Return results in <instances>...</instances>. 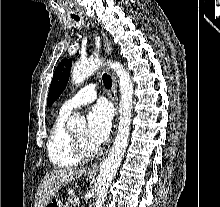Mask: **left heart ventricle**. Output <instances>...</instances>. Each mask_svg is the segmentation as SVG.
Here are the masks:
<instances>
[{"label":"left heart ventricle","instance_id":"b2bd125f","mask_svg":"<svg viewBox=\"0 0 220 207\" xmlns=\"http://www.w3.org/2000/svg\"><path fill=\"white\" fill-rule=\"evenodd\" d=\"M73 134L80 140V142L83 144V146L85 147V149L87 151H93V150L96 149L86 139V137H85V129L77 130V131L73 132Z\"/></svg>","mask_w":220,"mask_h":207}]
</instances>
